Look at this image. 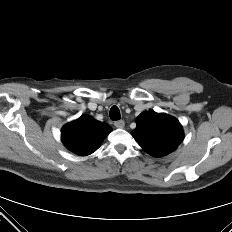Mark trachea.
<instances>
[{"mask_svg":"<svg viewBox=\"0 0 232 232\" xmlns=\"http://www.w3.org/2000/svg\"><path fill=\"white\" fill-rule=\"evenodd\" d=\"M110 118L113 121L119 120L120 119V110L117 106H112L110 109Z\"/></svg>","mask_w":232,"mask_h":232,"instance_id":"3493384b","label":"trachea"}]
</instances>
